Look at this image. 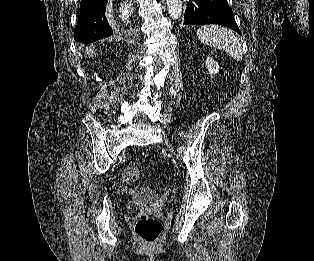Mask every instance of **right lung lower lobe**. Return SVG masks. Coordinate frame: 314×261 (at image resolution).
<instances>
[{
	"label": "right lung lower lobe",
	"mask_w": 314,
	"mask_h": 261,
	"mask_svg": "<svg viewBox=\"0 0 314 261\" xmlns=\"http://www.w3.org/2000/svg\"><path fill=\"white\" fill-rule=\"evenodd\" d=\"M107 2L108 0H81V13L74 30L76 42L88 44L113 34L105 16Z\"/></svg>",
	"instance_id": "98d812e1"
}]
</instances>
